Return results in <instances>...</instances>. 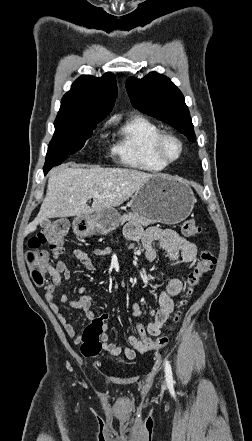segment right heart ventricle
I'll return each instance as SVG.
<instances>
[{
  "mask_svg": "<svg viewBox=\"0 0 252 441\" xmlns=\"http://www.w3.org/2000/svg\"><path fill=\"white\" fill-rule=\"evenodd\" d=\"M160 132L159 127L144 116L126 118L118 128L112 152L126 166L146 172H160L167 165L159 161L152 150Z\"/></svg>",
  "mask_w": 252,
  "mask_h": 441,
  "instance_id": "right-heart-ventricle-1",
  "label": "right heart ventricle"
}]
</instances>
